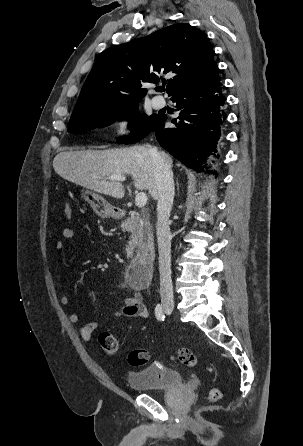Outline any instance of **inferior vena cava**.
<instances>
[{"mask_svg":"<svg viewBox=\"0 0 303 446\" xmlns=\"http://www.w3.org/2000/svg\"><path fill=\"white\" fill-rule=\"evenodd\" d=\"M157 188V242L159 249L160 296L163 302H173L171 279V232L169 217L174 199L173 173L165 158L150 148Z\"/></svg>","mask_w":303,"mask_h":446,"instance_id":"obj_1","label":"inferior vena cava"}]
</instances>
